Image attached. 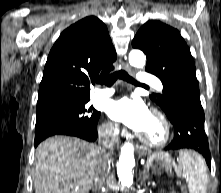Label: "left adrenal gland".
<instances>
[{
	"label": "left adrenal gland",
	"instance_id": "left-adrenal-gland-1",
	"mask_svg": "<svg viewBox=\"0 0 221 193\" xmlns=\"http://www.w3.org/2000/svg\"><path fill=\"white\" fill-rule=\"evenodd\" d=\"M150 177L149 172L144 168V170L142 171V180L143 182H145V180H147Z\"/></svg>",
	"mask_w": 221,
	"mask_h": 193
}]
</instances>
